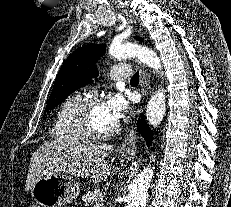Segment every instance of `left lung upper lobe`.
I'll return each instance as SVG.
<instances>
[{"instance_id": "1", "label": "left lung upper lobe", "mask_w": 231, "mask_h": 207, "mask_svg": "<svg viewBox=\"0 0 231 207\" xmlns=\"http://www.w3.org/2000/svg\"><path fill=\"white\" fill-rule=\"evenodd\" d=\"M104 53L105 45L99 44L85 45L71 54L58 72L45 111L55 108L72 92L97 77L95 63Z\"/></svg>"}]
</instances>
